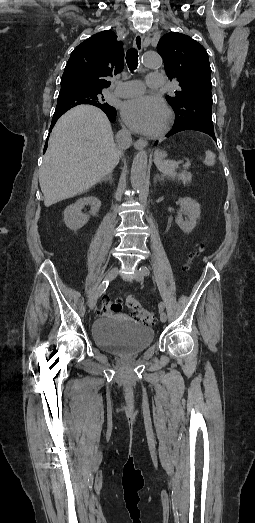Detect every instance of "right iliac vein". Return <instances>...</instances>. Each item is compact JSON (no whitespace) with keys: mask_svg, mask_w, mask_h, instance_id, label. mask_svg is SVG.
<instances>
[{"mask_svg":"<svg viewBox=\"0 0 255 523\" xmlns=\"http://www.w3.org/2000/svg\"><path fill=\"white\" fill-rule=\"evenodd\" d=\"M117 274H118V267H114V268H112V269L108 272V274H107L105 280H113V279L117 276ZM97 299H98V290H97L96 293L91 297V299H90V301H89V307H90L91 309H94V308H95L96 303H97Z\"/></svg>","mask_w":255,"mask_h":523,"instance_id":"obj_1","label":"right iliac vein"}]
</instances>
